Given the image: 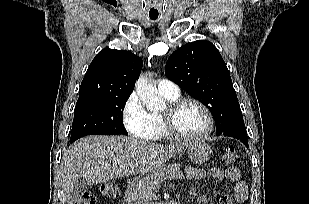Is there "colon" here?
Returning a JSON list of instances; mask_svg holds the SVG:
<instances>
[{
  "label": "colon",
  "mask_w": 309,
  "mask_h": 204,
  "mask_svg": "<svg viewBox=\"0 0 309 204\" xmlns=\"http://www.w3.org/2000/svg\"><path fill=\"white\" fill-rule=\"evenodd\" d=\"M221 161L225 166L237 165L239 163V157L235 148L232 146L225 148ZM101 192L108 198H117L120 195V188L115 182H105L101 186ZM74 204H95V195L92 192H85Z\"/></svg>",
  "instance_id": "obj_1"
}]
</instances>
